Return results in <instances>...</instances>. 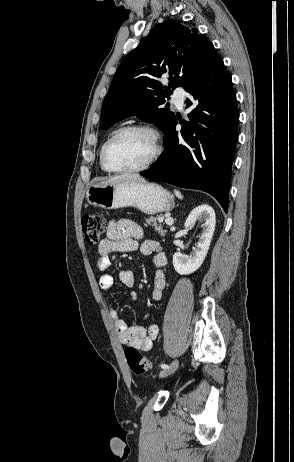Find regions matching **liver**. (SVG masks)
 I'll return each mask as SVG.
<instances>
[{
  "label": "liver",
  "instance_id": "6515ba94",
  "mask_svg": "<svg viewBox=\"0 0 294 462\" xmlns=\"http://www.w3.org/2000/svg\"><path fill=\"white\" fill-rule=\"evenodd\" d=\"M122 180L144 181V179L141 178L139 175H136V174H123V175L112 177V178L108 179L107 181L102 182L101 184L113 183V182L122 181Z\"/></svg>",
  "mask_w": 294,
  "mask_h": 462
}]
</instances>
